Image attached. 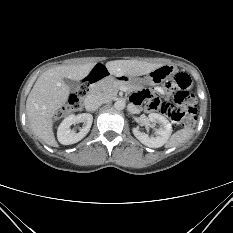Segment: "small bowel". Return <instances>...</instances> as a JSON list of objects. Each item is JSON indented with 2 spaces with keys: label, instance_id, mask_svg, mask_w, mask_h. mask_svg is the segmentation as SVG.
<instances>
[{
  "label": "small bowel",
  "instance_id": "obj_1",
  "mask_svg": "<svg viewBox=\"0 0 233 233\" xmlns=\"http://www.w3.org/2000/svg\"><path fill=\"white\" fill-rule=\"evenodd\" d=\"M156 92L160 93V94H163L164 90L162 88H157ZM153 99H155V97H153L152 95H150L149 93H146V92H138L133 96V100H134L135 103H139V102L145 100L146 103H147V109L149 111H154L150 107V103L152 102Z\"/></svg>",
  "mask_w": 233,
  "mask_h": 233
}]
</instances>
